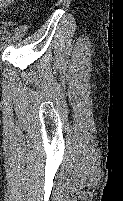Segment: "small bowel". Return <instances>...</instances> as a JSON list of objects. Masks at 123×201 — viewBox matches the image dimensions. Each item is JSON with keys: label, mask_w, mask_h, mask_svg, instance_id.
Listing matches in <instances>:
<instances>
[{"label": "small bowel", "mask_w": 123, "mask_h": 201, "mask_svg": "<svg viewBox=\"0 0 123 201\" xmlns=\"http://www.w3.org/2000/svg\"><path fill=\"white\" fill-rule=\"evenodd\" d=\"M10 0H1L0 1V4L2 5V4H5V3H8ZM14 26H16V23H13V22H9V23H7V22H2L1 24H0V28H2V29H6V28H9V27H14Z\"/></svg>", "instance_id": "obj_1"}]
</instances>
